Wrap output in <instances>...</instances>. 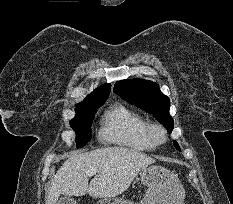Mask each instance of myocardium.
I'll list each match as a JSON object with an SVG mask.
<instances>
[{
    "label": "myocardium",
    "instance_id": "obj_1",
    "mask_svg": "<svg viewBox=\"0 0 233 204\" xmlns=\"http://www.w3.org/2000/svg\"><path fill=\"white\" fill-rule=\"evenodd\" d=\"M148 138L155 144L160 145L166 141V131L158 123H148L146 127Z\"/></svg>",
    "mask_w": 233,
    "mask_h": 204
}]
</instances>
